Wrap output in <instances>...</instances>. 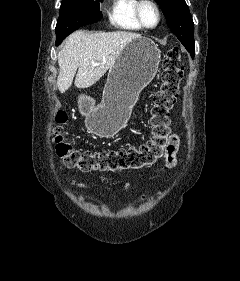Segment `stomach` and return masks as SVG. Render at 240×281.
I'll return each instance as SVG.
<instances>
[{"instance_id":"stomach-1","label":"stomach","mask_w":240,"mask_h":281,"mask_svg":"<svg viewBox=\"0 0 240 281\" xmlns=\"http://www.w3.org/2000/svg\"><path fill=\"white\" fill-rule=\"evenodd\" d=\"M161 54L147 37L129 42L109 69L102 103L81 97L79 110L86 127L100 137H111L125 124L140 92L154 79Z\"/></svg>"}]
</instances>
